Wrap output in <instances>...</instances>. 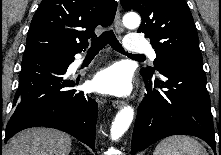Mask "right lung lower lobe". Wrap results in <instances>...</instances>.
I'll use <instances>...</instances> for the list:
<instances>
[{
  "instance_id": "1",
  "label": "right lung lower lobe",
  "mask_w": 221,
  "mask_h": 155,
  "mask_svg": "<svg viewBox=\"0 0 221 155\" xmlns=\"http://www.w3.org/2000/svg\"><path fill=\"white\" fill-rule=\"evenodd\" d=\"M73 61L74 57L50 53L23 57L5 143L23 129L45 126L65 131L95 150L98 105L89 95L69 89L79 83L64 77ZM1 144L0 134V154Z\"/></svg>"
}]
</instances>
